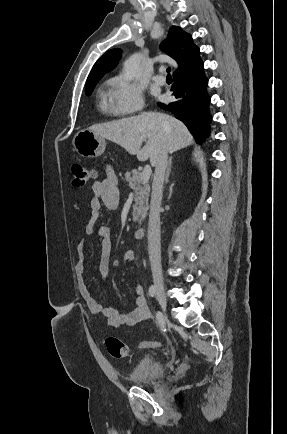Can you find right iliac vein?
I'll use <instances>...</instances> for the list:
<instances>
[{"mask_svg": "<svg viewBox=\"0 0 287 434\" xmlns=\"http://www.w3.org/2000/svg\"><path fill=\"white\" fill-rule=\"evenodd\" d=\"M154 286H155V295L162 309L163 317L165 320H167V316H166L167 298L164 292L163 284L159 281H155Z\"/></svg>", "mask_w": 287, "mask_h": 434, "instance_id": "63e3f726", "label": "right iliac vein"}]
</instances>
